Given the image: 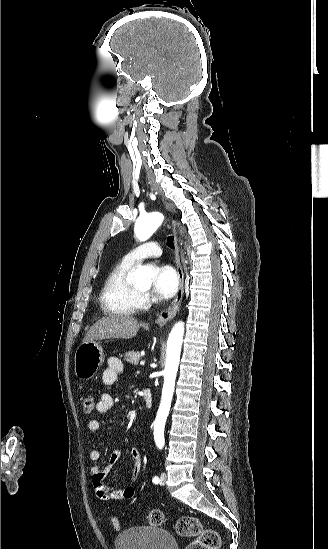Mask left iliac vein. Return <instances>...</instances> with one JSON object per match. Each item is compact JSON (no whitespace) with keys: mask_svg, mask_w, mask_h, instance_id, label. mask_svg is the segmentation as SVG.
<instances>
[{"mask_svg":"<svg viewBox=\"0 0 328 549\" xmlns=\"http://www.w3.org/2000/svg\"><path fill=\"white\" fill-rule=\"evenodd\" d=\"M166 483V474L162 473L160 477V484L164 485Z\"/></svg>","mask_w":328,"mask_h":549,"instance_id":"obj_1","label":"left iliac vein"}]
</instances>
